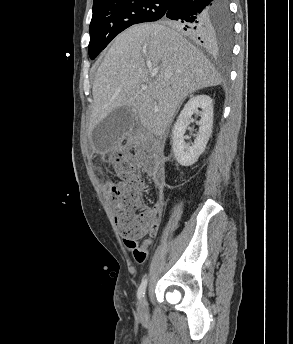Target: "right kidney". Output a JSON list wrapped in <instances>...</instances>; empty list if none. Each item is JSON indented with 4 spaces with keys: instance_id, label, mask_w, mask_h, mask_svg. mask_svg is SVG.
<instances>
[{
    "instance_id": "ca27d5eb",
    "label": "right kidney",
    "mask_w": 293,
    "mask_h": 344,
    "mask_svg": "<svg viewBox=\"0 0 293 344\" xmlns=\"http://www.w3.org/2000/svg\"><path fill=\"white\" fill-rule=\"evenodd\" d=\"M201 109V110H199ZM193 114L201 118L197 122L198 134L190 146L184 141V134ZM213 103L208 95H196L189 99L180 112L172 130V150L177 162L182 166H191L204 152L212 134Z\"/></svg>"
}]
</instances>
